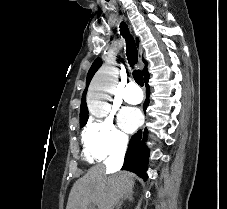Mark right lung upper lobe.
I'll return each instance as SVG.
<instances>
[{
    "label": "right lung upper lobe",
    "mask_w": 227,
    "mask_h": 209,
    "mask_svg": "<svg viewBox=\"0 0 227 209\" xmlns=\"http://www.w3.org/2000/svg\"><path fill=\"white\" fill-rule=\"evenodd\" d=\"M139 43V40L137 39V45ZM142 61L145 63V68L143 69V75H144V78L149 76V73L147 71V61L145 59H142ZM102 64V60L100 58H97L91 68L89 69V72L87 74V80H86V87H88L93 75L95 74V72L99 69V67L101 66ZM87 92V88L85 89L84 91V95L82 97V101H81V110H80V119H85V118H88V109H87V105H86V97H85V94Z\"/></svg>",
    "instance_id": "1"
}]
</instances>
